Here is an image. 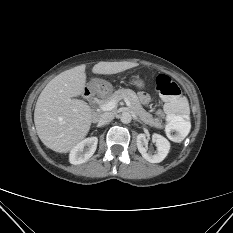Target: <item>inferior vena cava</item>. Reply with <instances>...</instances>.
<instances>
[{
    "mask_svg": "<svg viewBox=\"0 0 233 233\" xmlns=\"http://www.w3.org/2000/svg\"><path fill=\"white\" fill-rule=\"evenodd\" d=\"M115 117V114L113 112H104L99 115L98 122L100 125L107 124L111 122Z\"/></svg>",
    "mask_w": 233,
    "mask_h": 233,
    "instance_id": "1",
    "label": "inferior vena cava"
}]
</instances>
